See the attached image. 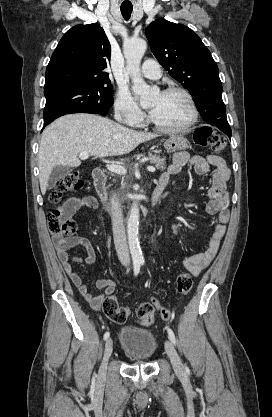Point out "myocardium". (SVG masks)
<instances>
[{
  "label": "myocardium",
  "mask_w": 272,
  "mask_h": 417,
  "mask_svg": "<svg viewBox=\"0 0 272 417\" xmlns=\"http://www.w3.org/2000/svg\"><path fill=\"white\" fill-rule=\"evenodd\" d=\"M162 95H172V94H179L182 95L186 101L189 104L190 110H191V117L190 120L183 126L181 127H176V128H170V127H164L161 126L160 124H158L157 122L154 121V119L151 117V115L148 116V122L150 125H152L156 130H158L159 132L165 133V134H181V133H186L188 132L197 122L198 117H199V110L197 107V104L193 98V96L191 95V93L189 91H187L184 88L181 87H170L167 89H164L161 92Z\"/></svg>",
  "instance_id": "obj_1"
}]
</instances>
